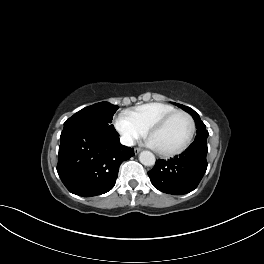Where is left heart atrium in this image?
<instances>
[{
    "label": "left heart atrium",
    "mask_w": 264,
    "mask_h": 264,
    "mask_svg": "<svg viewBox=\"0 0 264 264\" xmlns=\"http://www.w3.org/2000/svg\"><path fill=\"white\" fill-rule=\"evenodd\" d=\"M149 145H150L151 147H153V148H156V146H155V144H154V142H153L152 140L149 141Z\"/></svg>",
    "instance_id": "obj_1"
}]
</instances>
